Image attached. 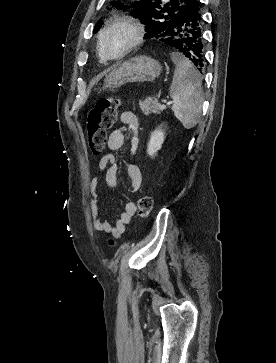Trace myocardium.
<instances>
[{
	"mask_svg": "<svg viewBox=\"0 0 276 363\" xmlns=\"http://www.w3.org/2000/svg\"><path fill=\"white\" fill-rule=\"evenodd\" d=\"M118 29H124L130 34L126 46L116 55H109L105 49V41L108 36ZM144 28L142 24L133 17H120L109 23L99 37V50L105 61H117L128 55L143 41Z\"/></svg>",
	"mask_w": 276,
	"mask_h": 363,
	"instance_id": "myocardium-1",
	"label": "myocardium"
}]
</instances>
